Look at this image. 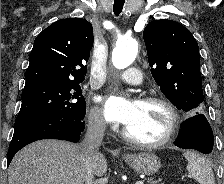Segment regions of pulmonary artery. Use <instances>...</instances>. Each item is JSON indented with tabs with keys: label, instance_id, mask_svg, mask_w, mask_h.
<instances>
[{
	"label": "pulmonary artery",
	"instance_id": "1",
	"mask_svg": "<svg viewBox=\"0 0 224 184\" xmlns=\"http://www.w3.org/2000/svg\"><path fill=\"white\" fill-rule=\"evenodd\" d=\"M120 79L131 85H140L142 83L141 72L136 68H130L118 75Z\"/></svg>",
	"mask_w": 224,
	"mask_h": 184
}]
</instances>
